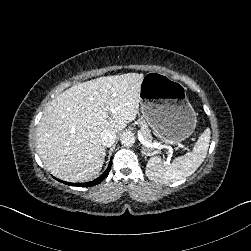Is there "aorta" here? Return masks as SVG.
Instances as JSON below:
<instances>
[{"label": "aorta", "mask_w": 251, "mask_h": 251, "mask_svg": "<svg viewBox=\"0 0 251 251\" xmlns=\"http://www.w3.org/2000/svg\"><path fill=\"white\" fill-rule=\"evenodd\" d=\"M120 142L124 146H132L135 142L134 135L132 133H123L120 137Z\"/></svg>", "instance_id": "762f6f07"}]
</instances>
